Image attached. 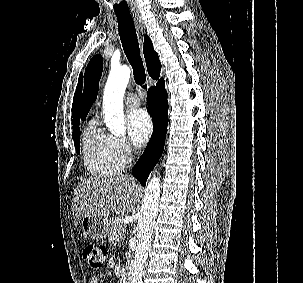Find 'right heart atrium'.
I'll return each instance as SVG.
<instances>
[{
    "label": "right heart atrium",
    "instance_id": "1",
    "mask_svg": "<svg viewBox=\"0 0 303 283\" xmlns=\"http://www.w3.org/2000/svg\"><path fill=\"white\" fill-rule=\"evenodd\" d=\"M113 146L117 155L126 163L131 159L132 148L127 140L123 137L112 136Z\"/></svg>",
    "mask_w": 303,
    "mask_h": 283
}]
</instances>
